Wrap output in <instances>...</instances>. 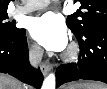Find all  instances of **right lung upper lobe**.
<instances>
[{
	"instance_id": "right-lung-upper-lobe-1",
	"label": "right lung upper lobe",
	"mask_w": 107,
	"mask_h": 89,
	"mask_svg": "<svg viewBox=\"0 0 107 89\" xmlns=\"http://www.w3.org/2000/svg\"><path fill=\"white\" fill-rule=\"evenodd\" d=\"M10 0H1L0 1V13H6L8 4Z\"/></svg>"
}]
</instances>
